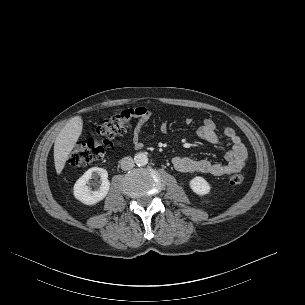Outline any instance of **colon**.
<instances>
[{
  "mask_svg": "<svg viewBox=\"0 0 305 305\" xmlns=\"http://www.w3.org/2000/svg\"><path fill=\"white\" fill-rule=\"evenodd\" d=\"M132 117L129 110H124L105 119L96 129L99 140L75 145L68 156L69 164L85 167L102 160L111 148L113 139L128 129ZM243 181L244 177L240 174L230 177L232 185H240Z\"/></svg>",
  "mask_w": 305,
  "mask_h": 305,
  "instance_id": "obj_1",
  "label": "colon"
}]
</instances>
